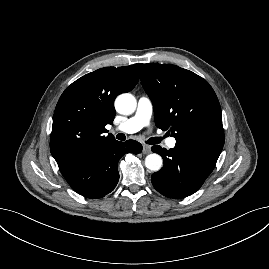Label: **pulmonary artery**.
<instances>
[{
  "label": "pulmonary artery",
  "instance_id": "obj_1",
  "mask_svg": "<svg viewBox=\"0 0 269 269\" xmlns=\"http://www.w3.org/2000/svg\"><path fill=\"white\" fill-rule=\"evenodd\" d=\"M153 112V105L149 97L141 96L138 99L137 109L135 114L125 122L115 128V131L122 133H135L147 126L150 122ZM166 145L169 148L176 146V139L171 137L166 140Z\"/></svg>",
  "mask_w": 269,
  "mask_h": 269
}]
</instances>
